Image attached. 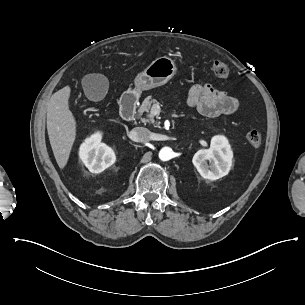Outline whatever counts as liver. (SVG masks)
Wrapping results in <instances>:
<instances>
[{
  "label": "liver",
  "instance_id": "obj_1",
  "mask_svg": "<svg viewBox=\"0 0 305 305\" xmlns=\"http://www.w3.org/2000/svg\"><path fill=\"white\" fill-rule=\"evenodd\" d=\"M71 89L65 86L47 102V131L54 157L63 169L67 164L76 135V122L69 110Z\"/></svg>",
  "mask_w": 305,
  "mask_h": 305
}]
</instances>
